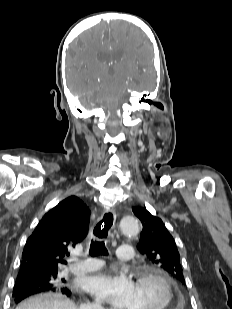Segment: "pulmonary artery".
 Returning a JSON list of instances; mask_svg holds the SVG:
<instances>
[{
	"mask_svg": "<svg viewBox=\"0 0 232 309\" xmlns=\"http://www.w3.org/2000/svg\"><path fill=\"white\" fill-rule=\"evenodd\" d=\"M116 256L121 261H131L134 257V250L131 246H120L116 250ZM102 267V262L99 260H85L68 267V271L74 274H84L92 272Z\"/></svg>",
	"mask_w": 232,
	"mask_h": 309,
	"instance_id": "e3ab8cb5",
	"label": "pulmonary artery"
}]
</instances>
